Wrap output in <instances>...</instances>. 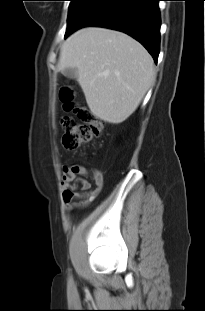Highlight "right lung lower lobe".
Listing matches in <instances>:
<instances>
[{
	"mask_svg": "<svg viewBox=\"0 0 205 311\" xmlns=\"http://www.w3.org/2000/svg\"><path fill=\"white\" fill-rule=\"evenodd\" d=\"M159 0H90L65 38L86 26L122 31L138 40L157 61L160 43Z\"/></svg>",
	"mask_w": 205,
	"mask_h": 311,
	"instance_id": "obj_1",
	"label": "right lung lower lobe"
}]
</instances>
